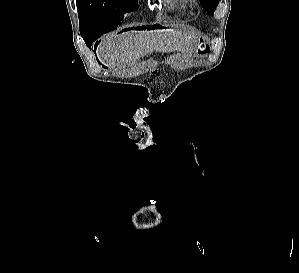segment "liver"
Wrapping results in <instances>:
<instances>
[{
  "mask_svg": "<svg viewBox=\"0 0 299 273\" xmlns=\"http://www.w3.org/2000/svg\"><path fill=\"white\" fill-rule=\"evenodd\" d=\"M197 38L185 29L166 31H129L110 34L102 39L98 53L109 67H125L134 64L141 56L153 51L172 52L195 50Z\"/></svg>",
  "mask_w": 299,
  "mask_h": 273,
  "instance_id": "obj_1",
  "label": "liver"
}]
</instances>
